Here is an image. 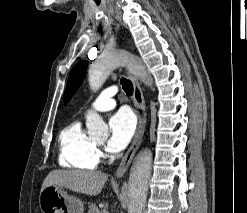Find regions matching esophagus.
<instances>
[{"label":"esophagus","instance_id":"34e87169","mask_svg":"<svg viewBox=\"0 0 247 213\" xmlns=\"http://www.w3.org/2000/svg\"><path fill=\"white\" fill-rule=\"evenodd\" d=\"M129 77H130V79L133 83V87H134L133 99H134L135 107L137 109H140V110H145V99H144L140 84L137 81V79L134 76H132L131 74H129ZM145 123H146L145 116L141 115L140 119H139L138 128H137L136 134L134 136V139L132 141V144H131L130 148L128 149V151L126 152V154L124 155V157L122 158V160H121V162H120V164L116 170L115 176L117 178L122 177L126 173V171L128 170V168L132 162V159H133L136 151L138 150V148L142 142L144 130H145Z\"/></svg>","mask_w":247,"mask_h":213}]
</instances>
